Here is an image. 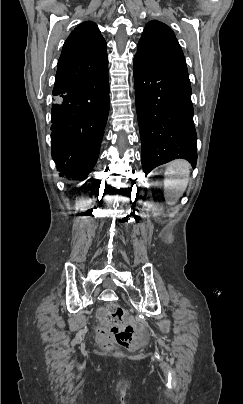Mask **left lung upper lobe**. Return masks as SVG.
<instances>
[{
	"label": "left lung upper lobe",
	"mask_w": 243,
	"mask_h": 404,
	"mask_svg": "<svg viewBox=\"0 0 243 404\" xmlns=\"http://www.w3.org/2000/svg\"><path fill=\"white\" fill-rule=\"evenodd\" d=\"M135 57L164 70L188 74L185 57L174 32L157 20L145 26Z\"/></svg>",
	"instance_id": "left-lung-upper-lobe-1"
}]
</instances>
